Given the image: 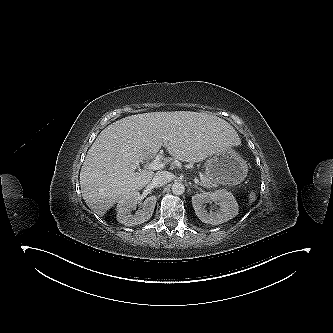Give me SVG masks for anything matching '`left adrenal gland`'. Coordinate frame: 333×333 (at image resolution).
Returning a JSON list of instances; mask_svg holds the SVG:
<instances>
[{
	"label": "left adrenal gland",
	"mask_w": 333,
	"mask_h": 333,
	"mask_svg": "<svg viewBox=\"0 0 333 333\" xmlns=\"http://www.w3.org/2000/svg\"><path fill=\"white\" fill-rule=\"evenodd\" d=\"M191 187L201 190V188H199L197 185H191Z\"/></svg>",
	"instance_id": "1"
}]
</instances>
